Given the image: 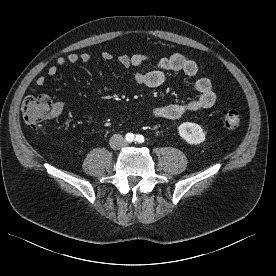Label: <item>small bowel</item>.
<instances>
[{
    "label": "small bowel",
    "instance_id": "c3829d8e",
    "mask_svg": "<svg viewBox=\"0 0 276 276\" xmlns=\"http://www.w3.org/2000/svg\"><path fill=\"white\" fill-rule=\"evenodd\" d=\"M99 59L102 62H109L113 60V54L109 51H104L100 54ZM92 60L93 57L89 53H70L66 56H59L56 59V64L47 68V74L48 76H55L58 73V67L80 62L89 63ZM149 60L150 57L145 54H121L117 57V62L126 68L139 67ZM198 71L199 67L193 59L183 54L176 53L161 58L156 68L151 71L146 73L139 71L135 72L134 80L139 85L156 88L164 84L166 80L165 72L183 73L189 77H194L198 74ZM44 84L45 78L40 76L35 80L34 87L35 89H40ZM195 88L199 92L197 98L182 104L155 106L152 109V115L162 120H176L185 114L196 113L212 107L216 101V93L211 81L204 77L198 78L195 81ZM62 109V103H56L55 112L60 113Z\"/></svg>",
    "mask_w": 276,
    "mask_h": 276
}]
</instances>
